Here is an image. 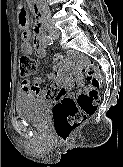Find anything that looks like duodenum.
Segmentation results:
<instances>
[{
  "instance_id": "1",
  "label": "duodenum",
  "mask_w": 123,
  "mask_h": 167,
  "mask_svg": "<svg viewBox=\"0 0 123 167\" xmlns=\"http://www.w3.org/2000/svg\"><path fill=\"white\" fill-rule=\"evenodd\" d=\"M33 10H34V13L37 15V17L40 19V24L42 26L44 22V18H43V11H42L39 0H34Z\"/></svg>"
}]
</instances>
